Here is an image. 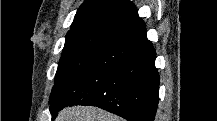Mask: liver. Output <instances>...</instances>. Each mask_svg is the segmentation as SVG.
I'll list each match as a JSON object with an SVG mask.
<instances>
[{
	"label": "liver",
	"mask_w": 217,
	"mask_h": 121,
	"mask_svg": "<svg viewBox=\"0 0 217 121\" xmlns=\"http://www.w3.org/2000/svg\"><path fill=\"white\" fill-rule=\"evenodd\" d=\"M56 121H123L122 118L112 115L96 107L75 106L64 108L59 112Z\"/></svg>",
	"instance_id": "liver-1"
}]
</instances>
